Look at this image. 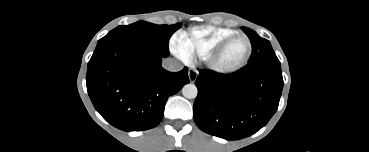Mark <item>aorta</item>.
<instances>
[{
  "instance_id": "762f6f07",
  "label": "aorta",
  "mask_w": 369,
  "mask_h": 152,
  "mask_svg": "<svg viewBox=\"0 0 369 152\" xmlns=\"http://www.w3.org/2000/svg\"><path fill=\"white\" fill-rule=\"evenodd\" d=\"M197 93H198V90L194 84H186L182 88V94L187 99L196 98Z\"/></svg>"
}]
</instances>
